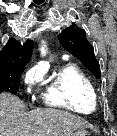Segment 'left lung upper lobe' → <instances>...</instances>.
Listing matches in <instances>:
<instances>
[{"label":"left lung upper lobe","instance_id":"1","mask_svg":"<svg viewBox=\"0 0 117 136\" xmlns=\"http://www.w3.org/2000/svg\"><path fill=\"white\" fill-rule=\"evenodd\" d=\"M59 40L64 48L77 57L96 78H100L99 63L94 56L93 46L86 39L83 29L72 24L59 35Z\"/></svg>","mask_w":117,"mask_h":136}]
</instances>
